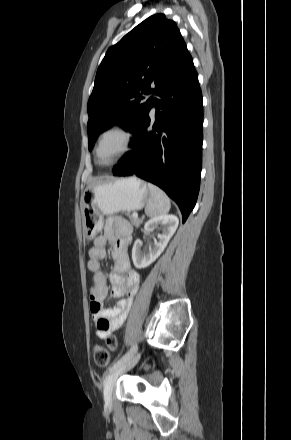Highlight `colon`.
Here are the masks:
<instances>
[{
  "label": "colon",
  "mask_w": 291,
  "mask_h": 440,
  "mask_svg": "<svg viewBox=\"0 0 291 440\" xmlns=\"http://www.w3.org/2000/svg\"><path fill=\"white\" fill-rule=\"evenodd\" d=\"M102 323L103 325H108L109 321L107 319H103ZM107 343L112 350H115L118 346L117 340L114 337H109ZM94 360L99 367H106L110 361L108 350L101 345H96L94 347Z\"/></svg>",
  "instance_id": "1"
}]
</instances>
